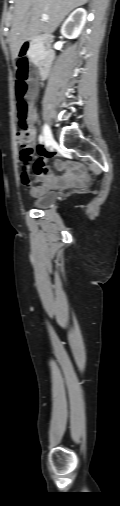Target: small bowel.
<instances>
[{
    "mask_svg": "<svg viewBox=\"0 0 120 506\" xmlns=\"http://www.w3.org/2000/svg\"><path fill=\"white\" fill-rule=\"evenodd\" d=\"M32 122L36 119L35 111L32 109L30 112ZM32 134L36 136V130L32 127ZM39 156L32 164V158L27 163L26 169L22 170L21 181L22 184L30 189L33 196H39L51 188H77L84 184L87 179L85 171L81 165H72L63 161H57L58 168H67L68 172L63 176L57 177L51 173L49 167L46 165L45 158L48 157L49 152L39 146ZM33 169L37 180L32 183L30 180V172Z\"/></svg>",
    "mask_w": 120,
    "mask_h": 506,
    "instance_id": "1",
    "label": "small bowel"
}]
</instances>
